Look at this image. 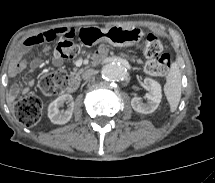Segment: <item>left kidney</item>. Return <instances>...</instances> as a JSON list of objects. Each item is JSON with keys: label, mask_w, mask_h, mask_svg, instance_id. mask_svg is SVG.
Wrapping results in <instances>:
<instances>
[{"label": "left kidney", "mask_w": 215, "mask_h": 183, "mask_svg": "<svg viewBox=\"0 0 215 183\" xmlns=\"http://www.w3.org/2000/svg\"><path fill=\"white\" fill-rule=\"evenodd\" d=\"M144 84L150 88V92L145 96L147 103H143L139 97H133L131 106L138 113L150 114L158 108L162 98V90L161 85L151 78H145Z\"/></svg>", "instance_id": "obj_1"}]
</instances>
